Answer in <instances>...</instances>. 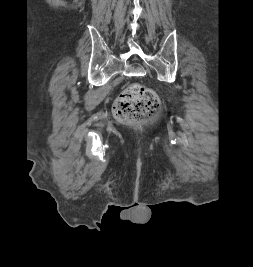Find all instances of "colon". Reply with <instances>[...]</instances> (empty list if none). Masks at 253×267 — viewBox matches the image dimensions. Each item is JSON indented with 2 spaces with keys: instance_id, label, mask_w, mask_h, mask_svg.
<instances>
[{
  "instance_id": "1",
  "label": "colon",
  "mask_w": 253,
  "mask_h": 267,
  "mask_svg": "<svg viewBox=\"0 0 253 267\" xmlns=\"http://www.w3.org/2000/svg\"><path fill=\"white\" fill-rule=\"evenodd\" d=\"M159 107L155 91L135 83L119 95L114 104V114L121 122H139L156 114Z\"/></svg>"
}]
</instances>
